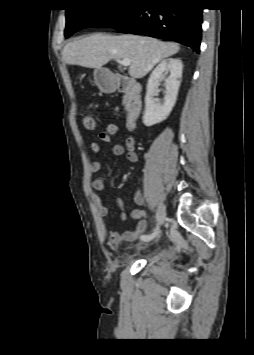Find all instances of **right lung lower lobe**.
<instances>
[{
  "label": "right lung lower lobe",
  "mask_w": 254,
  "mask_h": 355,
  "mask_svg": "<svg viewBox=\"0 0 254 355\" xmlns=\"http://www.w3.org/2000/svg\"><path fill=\"white\" fill-rule=\"evenodd\" d=\"M201 23L198 0H161L131 5L108 27L123 33L170 39L199 52Z\"/></svg>",
  "instance_id": "98d812e1"
}]
</instances>
